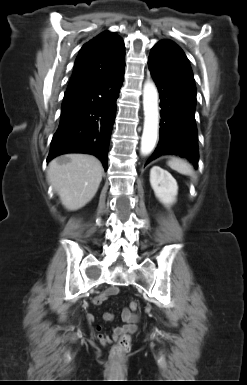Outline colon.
Returning a JSON list of instances; mask_svg holds the SVG:
<instances>
[{"instance_id": "obj_1", "label": "colon", "mask_w": 247, "mask_h": 385, "mask_svg": "<svg viewBox=\"0 0 247 385\" xmlns=\"http://www.w3.org/2000/svg\"><path fill=\"white\" fill-rule=\"evenodd\" d=\"M139 308V305L137 302L133 301L130 303L129 309L132 312L137 311ZM131 342V338L128 334H123L119 341L112 347L111 349V356L114 359H119L123 353L129 348Z\"/></svg>"}]
</instances>
